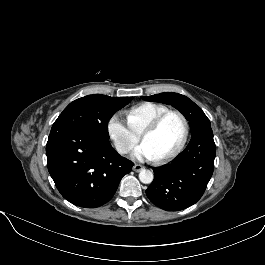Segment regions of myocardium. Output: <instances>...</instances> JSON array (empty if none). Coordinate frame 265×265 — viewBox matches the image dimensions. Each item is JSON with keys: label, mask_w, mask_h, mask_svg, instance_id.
<instances>
[{"label": "myocardium", "mask_w": 265, "mask_h": 265, "mask_svg": "<svg viewBox=\"0 0 265 265\" xmlns=\"http://www.w3.org/2000/svg\"><path fill=\"white\" fill-rule=\"evenodd\" d=\"M178 115L182 121H183V126H184V133H183V137L182 140L180 141V143L178 144V146L173 149L172 151L161 155L159 157H155L154 160L156 162H163L166 160H169L175 156H177L185 147L188 138H189V134H190V124L189 121L186 117V115L179 111V110H167L164 113L160 114L158 117H156L153 121H151L140 133V138L143 141L144 137L148 134H151L153 132H155L159 126L161 125V123L169 116V115Z\"/></svg>", "instance_id": "myocardium-1"}]
</instances>
